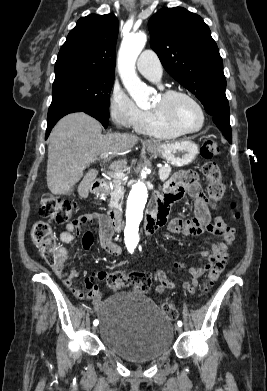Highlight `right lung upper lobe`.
Listing matches in <instances>:
<instances>
[{
  "label": "right lung upper lobe",
  "mask_w": 267,
  "mask_h": 391,
  "mask_svg": "<svg viewBox=\"0 0 267 391\" xmlns=\"http://www.w3.org/2000/svg\"><path fill=\"white\" fill-rule=\"evenodd\" d=\"M118 29V19L112 14H90L80 18L59 51L55 75L71 72L115 74Z\"/></svg>",
  "instance_id": "obj_1"
}]
</instances>
